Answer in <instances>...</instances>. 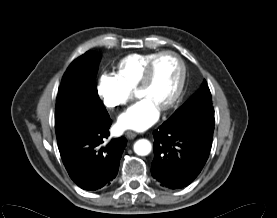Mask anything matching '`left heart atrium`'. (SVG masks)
I'll list each match as a JSON object with an SVG mask.
<instances>
[{
  "label": "left heart atrium",
  "mask_w": 277,
  "mask_h": 218,
  "mask_svg": "<svg viewBox=\"0 0 277 218\" xmlns=\"http://www.w3.org/2000/svg\"><path fill=\"white\" fill-rule=\"evenodd\" d=\"M159 115V106L151 99L143 97L119 115L117 125L122 130H145L158 120Z\"/></svg>",
  "instance_id": "obj_1"
}]
</instances>
